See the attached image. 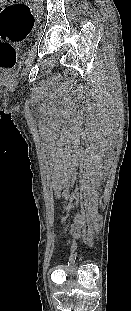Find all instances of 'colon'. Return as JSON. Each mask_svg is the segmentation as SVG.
<instances>
[{
	"instance_id": "colon-1",
	"label": "colon",
	"mask_w": 131,
	"mask_h": 311,
	"mask_svg": "<svg viewBox=\"0 0 131 311\" xmlns=\"http://www.w3.org/2000/svg\"><path fill=\"white\" fill-rule=\"evenodd\" d=\"M34 26V15L26 3L0 0V71L16 62L13 43L23 41Z\"/></svg>"
}]
</instances>
